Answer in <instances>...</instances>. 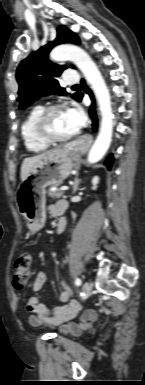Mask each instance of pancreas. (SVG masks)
<instances>
[{"instance_id":"obj_1","label":"pancreas","mask_w":145,"mask_h":385,"mask_svg":"<svg viewBox=\"0 0 145 385\" xmlns=\"http://www.w3.org/2000/svg\"><path fill=\"white\" fill-rule=\"evenodd\" d=\"M63 191L61 189H55V190H50L48 192V195L53 198V199H56V198H60L62 195H63Z\"/></svg>"}]
</instances>
